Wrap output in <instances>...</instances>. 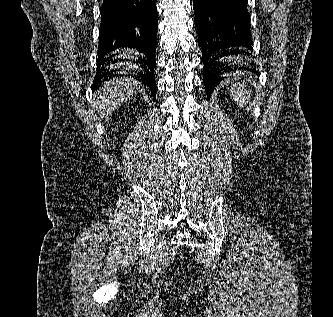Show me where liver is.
I'll return each mask as SVG.
<instances>
[{"mask_svg": "<svg viewBox=\"0 0 333 317\" xmlns=\"http://www.w3.org/2000/svg\"><path fill=\"white\" fill-rule=\"evenodd\" d=\"M122 55L137 54L136 51L130 49H122L119 51ZM127 73L128 70L136 68L131 63L120 62L116 65ZM138 82L129 77L114 78L106 81L100 87L94 96L93 105L102 119L109 116L123 103H125L134 93Z\"/></svg>", "mask_w": 333, "mask_h": 317, "instance_id": "6515ba94", "label": "liver"}]
</instances>
